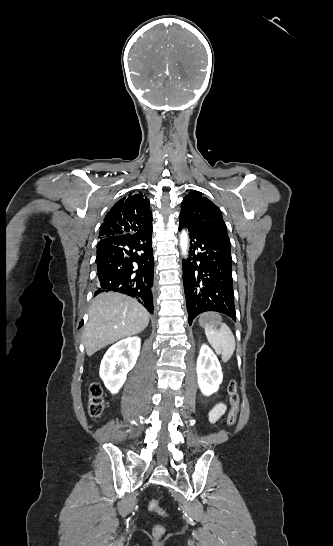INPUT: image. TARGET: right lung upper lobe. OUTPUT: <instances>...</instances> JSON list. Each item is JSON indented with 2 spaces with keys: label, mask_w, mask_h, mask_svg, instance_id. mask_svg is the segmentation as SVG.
<instances>
[{
  "label": "right lung upper lobe",
  "mask_w": 333,
  "mask_h": 546,
  "mask_svg": "<svg viewBox=\"0 0 333 546\" xmlns=\"http://www.w3.org/2000/svg\"><path fill=\"white\" fill-rule=\"evenodd\" d=\"M152 227L149 200L141 192H131L107 212L100 227L99 239L110 236H130Z\"/></svg>",
  "instance_id": "cb5924a9"
}]
</instances>
